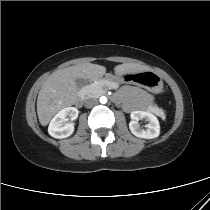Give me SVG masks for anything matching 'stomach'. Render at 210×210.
Segmentation results:
<instances>
[{
    "instance_id": "0dacf381",
    "label": "stomach",
    "mask_w": 210,
    "mask_h": 210,
    "mask_svg": "<svg viewBox=\"0 0 210 210\" xmlns=\"http://www.w3.org/2000/svg\"><path fill=\"white\" fill-rule=\"evenodd\" d=\"M123 80L135 84L152 93H160L163 90V81L159 74L154 71H145L127 74Z\"/></svg>"
}]
</instances>
